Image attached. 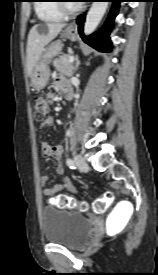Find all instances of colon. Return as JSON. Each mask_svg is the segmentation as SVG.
<instances>
[{
    "mask_svg": "<svg viewBox=\"0 0 158 275\" xmlns=\"http://www.w3.org/2000/svg\"><path fill=\"white\" fill-rule=\"evenodd\" d=\"M33 106H34V116L36 120L38 121H44L48 112H49V106H50V100L47 97L41 96V95H36L33 98ZM114 196L112 192H106L104 195L94 201L92 204V209L95 213H103L107 207L113 202ZM48 203L60 208H80L82 211H86L89 206L86 203H79L77 202L73 197L69 196H56L48 200Z\"/></svg>",
    "mask_w": 158,
    "mask_h": 275,
    "instance_id": "1",
    "label": "colon"
}]
</instances>
